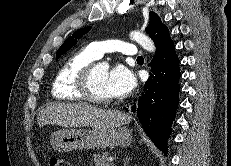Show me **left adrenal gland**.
<instances>
[{
  "label": "left adrenal gland",
  "instance_id": "1",
  "mask_svg": "<svg viewBox=\"0 0 231 166\" xmlns=\"http://www.w3.org/2000/svg\"><path fill=\"white\" fill-rule=\"evenodd\" d=\"M129 160H130V158H126V159L124 160L123 166H127V164L129 163Z\"/></svg>",
  "mask_w": 231,
  "mask_h": 166
}]
</instances>
